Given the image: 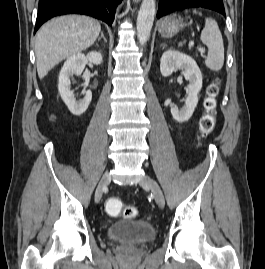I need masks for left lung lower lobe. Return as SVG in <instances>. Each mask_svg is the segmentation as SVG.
Masks as SVG:
<instances>
[{"mask_svg": "<svg viewBox=\"0 0 265 269\" xmlns=\"http://www.w3.org/2000/svg\"><path fill=\"white\" fill-rule=\"evenodd\" d=\"M194 7L208 8L225 16L222 0H160L157 18L178 10Z\"/></svg>", "mask_w": 265, "mask_h": 269, "instance_id": "left-lung-lower-lobe-1", "label": "left lung lower lobe"}]
</instances>
